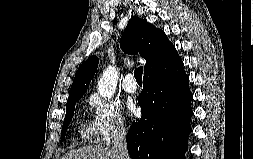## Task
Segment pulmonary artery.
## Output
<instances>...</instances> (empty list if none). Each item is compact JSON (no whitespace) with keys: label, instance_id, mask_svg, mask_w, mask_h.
I'll return each mask as SVG.
<instances>
[{"label":"pulmonary artery","instance_id":"e3ab8cb5","mask_svg":"<svg viewBox=\"0 0 253 159\" xmlns=\"http://www.w3.org/2000/svg\"><path fill=\"white\" fill-rule=\"evenodd\" d=\"M122 87L127 93H134L137 90V85L134 82V75L132 73L126 74L124 77Z\"/></svg>","mask_w":253,"mask_h":159}]
</instances>
